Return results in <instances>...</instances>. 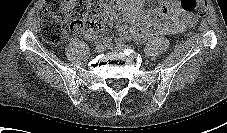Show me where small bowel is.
Segmentation results:
<instances>
[{
  "label": "small bowel",
  "instance_id": "1",
  "mask_svg": "<svg viewBox=\"0 0 227 133\" xmlns=\"http://www.w3.org/2000/svg\"><path fill=\"white\" fill-rule=\"evenodd\" d=\"M143 4L144 0H122L116 18L128 22L129 25L119 27L121 35L141 41L158 34L181 33L195 23V17L185 14L175 0H159L161 7L153 12H144ZM155 19L165 21L156 24ZM100 33V30H90L85 33V37L94 40Z\"/></svg>",
  "mask_w": 227,
  "mask_h": 133
}]
</instances>
